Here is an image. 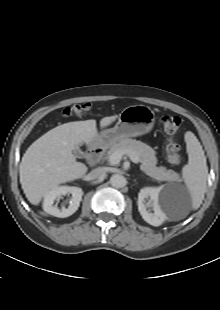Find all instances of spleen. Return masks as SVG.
I'll return each mask as SVG.
<instances>
[{"label": "spleen", "mask_w": 220, "mask_h": 310, "mask_svg": "<svg viewBox=\"0 0 220 310\" xmlns=\"http://www.w3.org/2000/svg\"><path fill=\"white\" fill-rule=\"evenodd\" d=\"M188 152V164L182 169V177L190 192L192 209L200 207L206 191L208 167L206 157L196 136L188 131L185 134Z\"/></svg>", "instance_id": "spleen-1"}]
</instances>
